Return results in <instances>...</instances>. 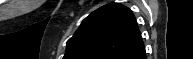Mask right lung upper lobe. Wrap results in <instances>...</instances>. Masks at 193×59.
<instances>
[{"mask_svg":"<svg viewBox=\"0 0 193 59\" xmlns=\"http://www.w3.org/2000/svg\"><path fill=\"white\" fill-rule=\"evenodd\" d=\"M143 47L132 11L110 3L83 20L68 40L63 59H128Z\"/></svg>","mask_w":193,"mask_h":59,"instance_id":"1","label":"right lung upper lobe"}]
</instances>
